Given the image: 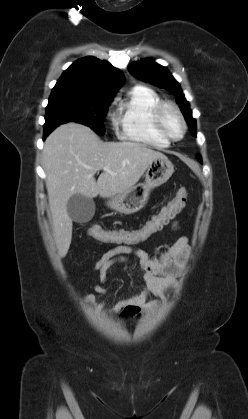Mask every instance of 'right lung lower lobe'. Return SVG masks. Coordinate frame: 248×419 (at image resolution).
Instances as JSON below:
<instances>
[{
    "instance_id": "obj_1",
    "label": "right lung lower lobe",
    "mask_w": 248,
    "mask_h": 419,
    "mask_svg": "<svg viewBox=\"0 0 248 419\" xmlns=\"http://www.w3.org/2000/svg\"><path fill=\"white\" fill-rule=\"evenodd\" d=\"M55 128H49V129H44V136L43 139H45L49 133H51Z\"/></svg>"
}]
</instances>
